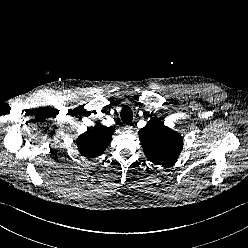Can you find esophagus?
I'll list each match as a JSON object with an SVG mask.
<instances>
[{"mask_svg": "<svg viewBox=\"0 0 248 248\" xmlns=\"http://www.w3.org/2000/svg\"><path fill=\"white\" fill-rule=\"evenodd\" d=\"M123 129L125 130V132L131 133L133 131V126H131V125H125L123 127Z\"/></svg>", "mask_w": 248, "mask_h": 248, "instance_id": "esophagus-1", "label": "esophagus"}]
</instances>
